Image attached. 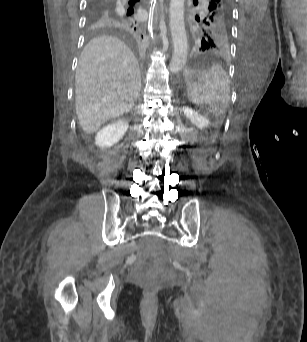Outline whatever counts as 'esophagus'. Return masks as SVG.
<instances>
[{"mask_svg": "<svg viewBox=\"0 0 307 342\" xmlns=\"http://www.w3.org/2000/svg\"><path fill=\"white\" fill-rule=\"evenodd\" d=\"M159 13H160V3H159V0H156L155 8H154V23H155V25L158 24Z\"/></svg>", "mask_w": 307, "mask_h": 342, "instance_id": "1", "label": "esophagus"}]
</instances>
